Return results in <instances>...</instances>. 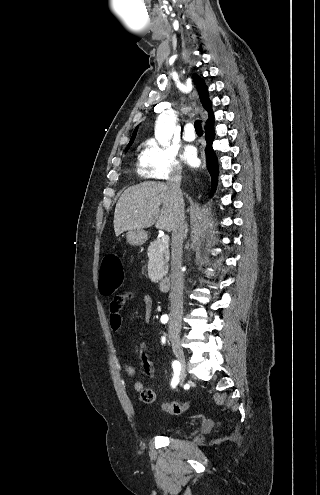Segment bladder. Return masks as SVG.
<instances>
[{"label": "bladder", "mask_w": 320, "mask_h": 495, "mask_svg": "<svg viewBox=\"0 0 320 495\" xmlns=\"http://www.w3.org/2000/svg\"><path fill=\"white\" fill-rule=\"evenodd\" d=\"M169 432H171L172 434H179L181 433V429H171Z\"/></svg>", "instance_id": "31cf9c89"}]
</instances>
